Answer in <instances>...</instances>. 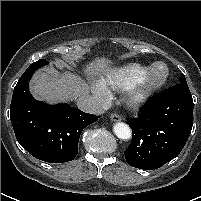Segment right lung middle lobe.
<instances>
[{
  "label": "right lung middle lobe",
  "instance_id": "right-lung-middle-lobe-1",
  "mask_svg": "<svg viewBox=\"0 0 201 201\" xmlns=\"http://www.w3.org/2000/svg\"><path fill=\"white\" fill-rule=\"evenodd\" d=\"M48 64V62L46 61V59H40L34 63H32L30 66L32 67H42L44 65Z\"/></svg>",
  "mask_w": 201,
  "mask_h": 201
}]
</instances>
